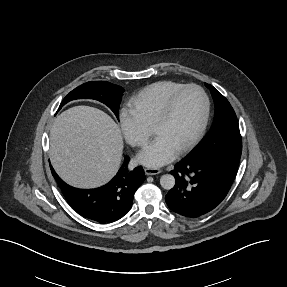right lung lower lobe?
Instances as JSON below:
<instances>
[{
  "instance_id": "obj_1",
  "label": "right lung lower lobe",
  "mask_w": 287,
  "mask_h": 287,
  "mask_svg": "<svg viewBox=\"0 0 287 287\" xmlns=\"http://www.w3.org/2000/svg\"><path fill=\"white\" fill-rule=\"evenodd\" d=\"M129 157L116 176L106 185L96 189H77L63 182L51 168L52 174L69 205L81 216L101 223H112L122 218L132 207L136 190L145 180L143 168L130 171Z\"/></svg>"
}]
</instances>
